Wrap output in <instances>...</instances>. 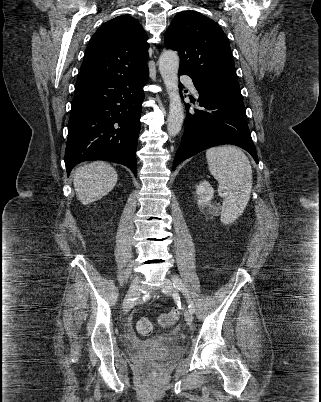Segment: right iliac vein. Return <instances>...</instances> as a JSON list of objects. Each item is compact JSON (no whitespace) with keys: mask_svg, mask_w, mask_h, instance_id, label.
I'll use <instances>...</instances> for the list:
<instances>
[{"mask_svg":"<svg viewBox=\"0 0 321 402\" xmlns=\"http://www.w3.org/2000/svg\"><path fill=\"white\" fill-rule=\"evenodd\" d=\"M139 280L136 278L131 283L123 303L124 312L127 313L133 306L132 300L138 295Z\"/></svg>","mask_w":321,"mask_h":402,"instance_id":"right-iliac-vein-1","label":"right iliac vein"}]
</instances>
